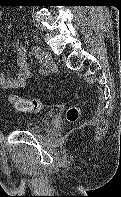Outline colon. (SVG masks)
Wrapping results in <instances>:
<instances>
[{
    "instance_id": "obj_1",
    "label": "colon",
    "mask_w": 121,
    "mask_h": 197,
    "mask_svg": "<svg viewBox=\"0 0 121 197\" xmlns=\"http://www.w3.org/2000/svg\"><path fill=\"white\" fill-rule=\"evenodd\" d=\"M9 102L15 109L23 112H39L42 109V102L39 99L27 100L15 95L9 96ZM80 116L78 107H70L66 112V118L69 122H76Z\"/></svg>"
}]
</instances>
